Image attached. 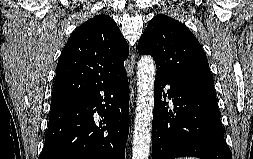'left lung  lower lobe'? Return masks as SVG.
<instances>
[{
    "label": "left lung lower lobe",
    "mask_w": 253,
    "mask_h": 159,
    "mask_svg": "<svg viewBox=\"0 0 253 159\" xmlns=\"http://www.w3.org/2000/svg\"><path fill=\"white\" fill-rule=\"evenodd\" d=\"M170 85L167 94L163 88ZM164 98H172L174 111ZM191 156L231 159L213 86L156 75L152 122V159Z\"/></svg>",
    "instance_id": "obj_1"
}]
</instances>
